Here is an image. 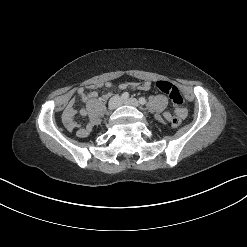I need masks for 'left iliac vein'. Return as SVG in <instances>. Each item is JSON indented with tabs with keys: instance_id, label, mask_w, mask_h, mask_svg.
Masks as SVG:
<instances>
[{
	"instance_id": "obj_1",
	"label": "left iliac vein",
	"mask_w": 247,
	"mask_h": 247,
	"mask_svg": "<svg viewBox=\"0 0 247 247\" xmlns=\"http://www.w3.org/2000/svg\"><path fill=\"white\" fill-rule=\"evenodd\" d=\"M123 103L126 104V105H128V106L139 108V102L135 98L126 99V100L123 101Z\"/></svg>"
}]
</instances>
